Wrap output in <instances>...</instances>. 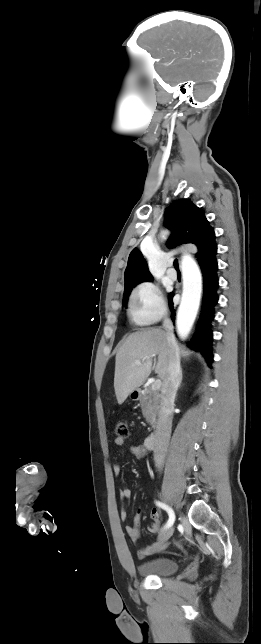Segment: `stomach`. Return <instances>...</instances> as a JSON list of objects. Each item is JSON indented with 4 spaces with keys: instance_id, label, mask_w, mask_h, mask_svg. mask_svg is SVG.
<instances>
[{
    "instance_id": "stomach-1",
    "label": "stomach",
    "mask_w": 261,
    "mask_h": 644,
    "mask_svg": "<svg viewBox=\"0 0 261 644\" xmlns=\"http://www.w3.org/2000/svg\"><path fill=\"white\" fill-rule=\"evenodd\" d=\"M135 392H136V395H134V394H135ZM137 393H138L137 391H133V392H131V393H130V398H132V399H136V398H137Z\"/></svg>"
}]
</instances>
